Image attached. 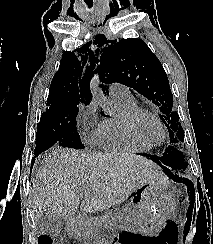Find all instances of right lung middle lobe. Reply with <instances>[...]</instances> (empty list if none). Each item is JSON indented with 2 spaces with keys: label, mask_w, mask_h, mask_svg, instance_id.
<instances>
[{
  "label": "right lung middle lobe",
  "mask_w": 213,
  "mask_h": 244,
  "mask_svg": "<svg viewBox=\"0 0 213 244\" xmlns=\"http://www.w3.org/2000/svg\"><path fill=\"white\" fill-rule=\"evenodd\" d=\"M37 125L35 153H42L55 143L64 147L83 149L77 133L78 104L48 105Z\"/></svg>",
  "instance_id": "1"
}]
</instances>
